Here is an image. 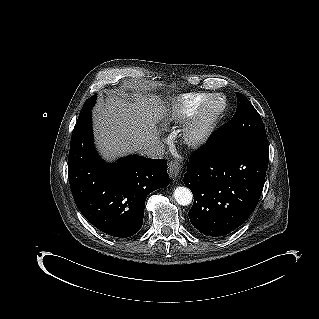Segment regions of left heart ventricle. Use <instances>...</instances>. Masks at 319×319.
Listing matches in <instances>:
<instances>
[{
    "label": "left heart ventricle",
    "mask_w": 319,
    "mask_h": 319,
    "mask_svg": "<svg viewBox=\"0 0 319 319\" xmlns=\"http://www.w3.org/2000/svg\"><path fill=\"white\" fill-rule=\"evenodd\" d=\"M220 105V102L217 101V102H214L211 107H210V112H214Z\"/></svg>",
    "instance_id": "left-heart-ventricle-1"
}]
</instances>
